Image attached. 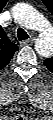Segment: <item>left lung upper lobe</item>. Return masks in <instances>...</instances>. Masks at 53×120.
<instances>
[{
	"instance_id": "5c2ea615",
	"label": "left lung upper lobe",
	"mask_w": 53,
	"mask_h": 120,
	"mask_svg": "<svg viewBox=\"0 0 53 120\" xmlns=\"http://www.w3.org/2000/svg\"><path fill=\"white\" fill-rule=\"evenodd\" d=\"M43 2L45 3V5H47V6L49 5V4H48L47 2H45L44 0H43Z\"/></svg>"
}]
</instances>
